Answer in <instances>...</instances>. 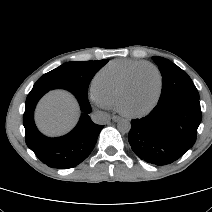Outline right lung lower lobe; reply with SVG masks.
<instances>
[{"label":"right lung lower lobe","mask_w":212,"mask_h":212,"mask_svg":"<svg viewBox=\"0 0 212 212\" xmlns=\"http://www.w3.org/2000/svg\"><path fill=\"white\" fill-rule=\"evenodd\" d=\"M52 89L57 88L34 85L28 94L23 115L25 141L35 155L49 167L72 168L88 157L104 126L93 123L88 116L91 113V106L87 94L62 88L70 91L77 98L83 113L76 127L67 135L58 138L42 135L34 123V110L39 99Z\"/></svg>","instance_id":"1"}]
</instances>
